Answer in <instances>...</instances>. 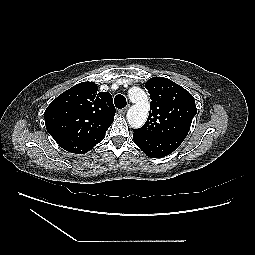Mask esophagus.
Segmentation results:
<instances>
[{
	"label": "esophagus",
	"mask_w": 255,
	"mask_h": 255,
	"mask_svg": "<svg viewBox=\"0 0 255 255\" xmlns=\"http://www.w3.org/2000/svg\"><path fill=\"white\" fill-rule=\"evenodd\" d=\"M127 110H128V106L125 107V108H123V109H119L118 112H119L120 114H125V113L127 112Z\"/></svg>",
	"instance_id": "1"
}]
</instances>
